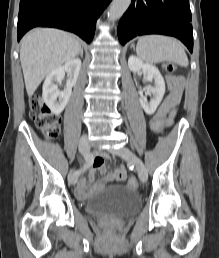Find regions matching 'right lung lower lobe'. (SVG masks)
Listing matches in <instances>:
<instances>
[{
    "mask_svg": "<svg viewBox=\"0 0 219 258\" xmlns=\"http://www.w3.org/2000/svg\"><path fill=\"white\" fill-rule=\"evenodd\" d=\"M111 0H20L18 41L33 27H55L90 43L98 17Z\"/></svg>",
    "mask_w": 219,
    "mask_h": 258,
    "instance_id": "right-lung-lower-lobe-1",
    "label": "right lung lower lobe"
}]
</instances>
